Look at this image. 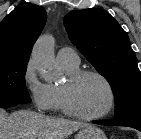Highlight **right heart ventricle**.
Masks as SVG:
<instances>
[{
	"label": "right heart ventricle",
	"instance_id": "e07e8e85",
	"mask_svg": "<svg viewBox=\"0 0 141 139\" xmlns=\"http://www.w3.org/2000/svg\"><path fill=\"white\" fill-rule=\"evenodd\" d=\"M61 67L65 70L67 75L79 70L78 65L77 66L61 65ZM48 86L51 95V108L58 111H63L62 103H61L60 86L59 85H48Z\"/></svg>",
	"mask_w": 141,
	"mask_h": 139
}]
</instances>
